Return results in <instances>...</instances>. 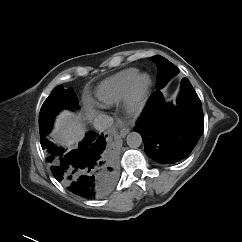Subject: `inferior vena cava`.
<instances>
[{"label":"inferior vena cava","instance_id":"inferior-vena-cava-1","mask_svg":"<svg viewBox=\"0 0 242 242\" xmlns=\"http://www.w3.org/2000/svg\"><path fill=\"white\" fill-rule=\"evenodd\" d=\"M113 124V118L106 114H99L93 121L96 130L104 131L110 128Z\"/></svg>","mask_w":242,"mask_h":242}]
</instances>
